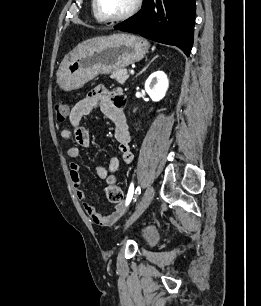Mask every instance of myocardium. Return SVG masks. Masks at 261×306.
<instances>
[{"mask_svg": "<svg viewBox=\"0 0 261 306\" xmlns=\"http://www.w3.org/2000/svg\"><path fill=\"white\" fill-rule=\"evenodd\" d=\"M142 2L143 0H135L132 7L126 13L119 15V16H115V17L106 16L101 12L100 7H99V0H93V10L96 16L101 21L114 23V22L124 21L132 17L140 9Z\"/></svg>", "mask_w": 261, "mask_h": 306, "instance_id": "myocardium-1", "label": "myocardium"}]
</instances>
